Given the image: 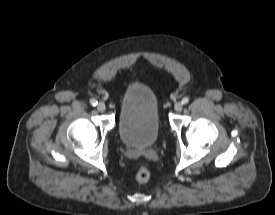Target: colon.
Segmentation results:
<instances>
[{
	"label": "colon",
	"instance_id": "1",
	"mask_svg": "<svg viewBox=\"0 0 275 215\" xmlns=\"http://www.w3.org/2000/svg\"><path fill=\"white\" fill-rule=\"evenodd\" d=\"M150 178V172L147 168L145 167H139L137 172H136V179L139 182H146Z\"/></svg>",
	"mask_w": 275,
	"mask_h": 215
}]
</instances>
